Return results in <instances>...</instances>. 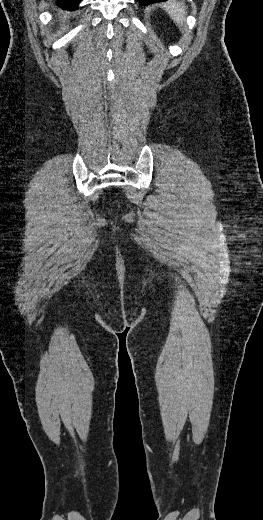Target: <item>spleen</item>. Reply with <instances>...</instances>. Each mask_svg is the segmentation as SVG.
I'll list each match as a JSON object with an SVG mask.
<instances>
[{"label": "spleen", "mask_w": 263, "mask_h": 520, "mask_svg": "<svg viewBox=\"0 0 263 520\" xmlns=\"http://www.w3.org/2000/svg\"><path fill=\"white\" fill-rule=\"evenodd\" d=\"M162 7L179 27L184 25L186 16V7L184 3L177 0H168L166 3L162 4Z\"/></svg>", "instance_id": "obj_1"}]
</instances>
